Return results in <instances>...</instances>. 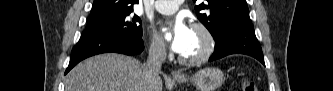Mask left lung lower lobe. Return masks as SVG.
Wrapping results in <instances>:
<instances>
[{
  "label": "left lung lower lobe",
  "instance_id": "obj_1",
  "mask_svg": "<svg viewBox=\"0 0 333 91\" xmlns=\"http://www.w3.org/2000/svg\"><path fill=\"white\" fill-rule=\"evenodd\" d=\"M216 45L209 61H214L230 54H246L264 63L263 53L254 33L252 23L240 24L226 29L215 39Z\"/></svg>",
  "mask_w": 333,
  "mask_h": 91
}]
</instances>
